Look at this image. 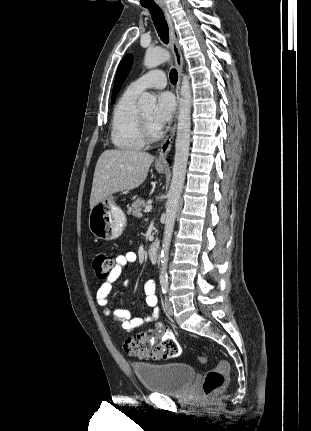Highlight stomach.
Listing matches in <instances>:
<instances>
[{
    "label": "stomach",
    "mask_w": 311,
    "mask_h": 431,
    "mask_svg": "<svg viewBox=\"0 0 311 431\" xmlns=\"http://www.w3.org/2000/svg\"><path fill=\"white\" fill-rule=\"evenodd\" d=\"M158 174H165V168H158ZM127 223V217L120 206L116 204V196H108L102 202H98L88 217V225L91 233L99 239H117L122 235Z\"/></svg>",
    "instance_id": "0dacf381"
}]
</instances>
